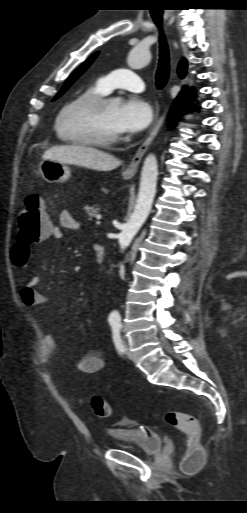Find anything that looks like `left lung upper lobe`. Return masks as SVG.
Segmentation results:
<instances>
[{"mask_svg":"<svg viewBox=\"0 0 247 513\" xmlns=\"http://www.w3.org/2000/svg\"><path fill=\"white\" fill-rule=\"evenodd\" d=\"M98 55V52L94 53L88 60H86L79 68H77L71 76L67 79L66 83L62 87L61 91L58 93V95L54 98H58L61 96L69 87L70 85L92 64L96 56Z\"/></svg>","mask_w":247,"mask_h":513,"instance_id":"5c2ea615","label":"left lung upper lobe"}]
</instances>
